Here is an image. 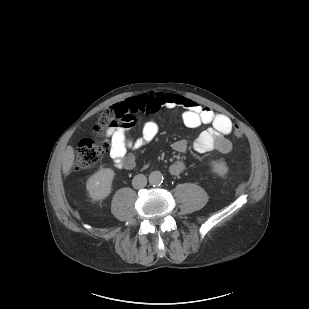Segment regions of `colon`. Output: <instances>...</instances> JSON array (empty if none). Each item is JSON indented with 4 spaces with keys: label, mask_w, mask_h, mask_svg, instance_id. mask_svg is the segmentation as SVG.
I'll return each instance as SVG.
<instances>
[{
    "label": "colon",
    "mask_w": 309,
    "mask_h": 309,
    "mask_svg": "<svg viewBox=\"0 0 309 309\" xmlns=\"http://www.w3.org/2000/svg\"><path fill=\"white\" fill-rule=\"evenodd\" d=\"M135 123L133 114L127 110L118 109V105L102 112L94 126L93 137L82 139L77 146L74 169L76 171L88 169L101 161L109 147L108 142L102 140V137L109 129L131 128ZM234 134L239 138L243 136V131L238 125L234 127Z\"/></svg>",
    "instance_id": "5ec220e1"
}]
</instances>
